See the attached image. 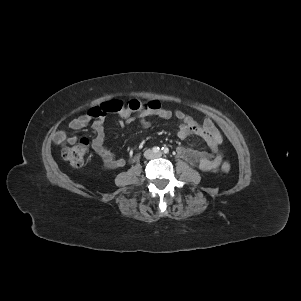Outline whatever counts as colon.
<instances>
[{
    "label": "colon",
    "instance_id": "obj_1",
    "mask_svg": "<svg viewBox=\"0 0 301 301\" xmlns=\"http://www.w3.org/2000/svg\"><path fill=\"white\" fill-rule=\"evenodd\" d=\"M160 107L158 101H140L136 99L120 100L113 99L102 103L100 106L91 108L88 113L93 117L103 116L106 113H119L123 109H130L138 111L141 109L156 110ZM89 140L87 138H80L68 142L62 147V156L75 166H79L84 162L85 156L88 152ZM231 170L229 163L224 162L221 165V171L228 173Z\"/></svg>",
    "mask_w": 301,
    "mask_h": 301
}]
</instances>
